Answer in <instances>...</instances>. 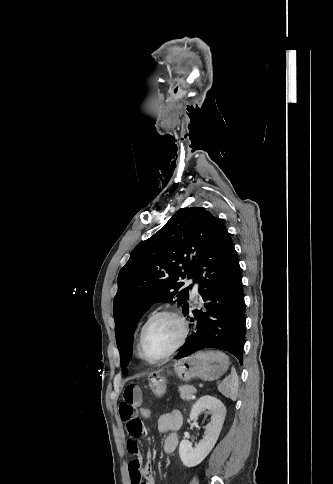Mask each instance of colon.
I'll use <instances>...</instances> for the list:
<instances>
[{"mask_svg": "<svg viewBox=\"0 0 333 484\" xmlns=\"http://www.w3.org/2000/svg\"><path fill=\"white\" fill-rule=\"evenodd\" d=\"M140 416L142 420L149 421L152 417V411L149 407H142L140 409Z\"/></svg>", "mask_w": 333, "mask_h": 484, "instance_id": "colon-1", "label": "colon"}]
</instances>
